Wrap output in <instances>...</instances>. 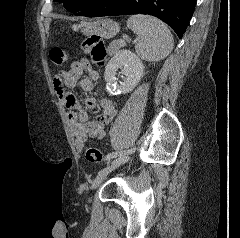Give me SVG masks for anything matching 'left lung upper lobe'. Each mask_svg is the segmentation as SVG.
Returning <instances> with one entry per match:
<instances>
[{"instance_id":"1","label":"left lung upper lobe","mask_w":240,"mask_h":238,"mask_svg":"<svg viewBox=\"0 0 240 238\" xmlns=\"http://www.w3.org/2000/svg\"><path fill=\"white\" fill-rule=\"evenodd\" d=\"M61 1L64 7L72 12H81L85 9L93 0H53Z\"/></svg>"}]
</instances>
